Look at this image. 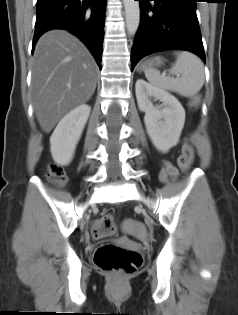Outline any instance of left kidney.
<instances>
[{"label": "left kidney", "instance_id": "obj_1", "mask_svg": "<svg viewBox=\"0 0 238 315\" xmlns=\"http://www.w3.org/2000/svg\"><path fill=\"white\" fill-rule=\"evenodd\" d=\"M136 98L140 111L145 112L144 123L154 146L168 152L177 145L185 122V110L170 93L156 88L143 79L135 84ZM159 100L154 106L151 100Z\"/></svg>", "mask_w": 238, "mask_h": 315}]
</instances>
